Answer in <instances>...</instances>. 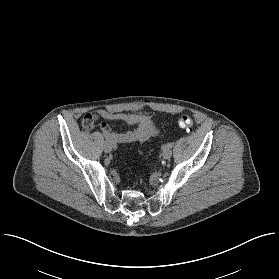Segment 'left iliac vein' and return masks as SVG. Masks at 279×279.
Returning a JSON list of instances; mask_svg holds the SVG:
<instances>
[{
    "label": "left iliac vein",
    "instance_id": "1",
    "mask_svg": "<svg viewBox=\"0 0 279 279\" xmlns=\"http://www.w3.org/2000/svg\"><path fill=\"white\" fill-rule=\"evenodd\" d=\"M171 156H172V150H170V149H165L162 152V158L163 159H169Z\"/></svg>",
    "mask_w": 279,
    "mask_h": 279
}]
</instances>
